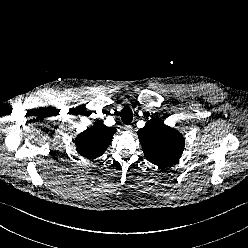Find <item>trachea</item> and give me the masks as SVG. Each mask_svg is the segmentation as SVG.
<instances>
[{
	"mask_svg": "<svg viewBox=\"0 0 248 248\" xmlns=\"http://www.w3.org/2000/svg\"><path fill=\"white\" fill-rule=\"evenodd\" d=\"M121 120L124 124H130L133 120L132 110L126 106L121 111Z\"/></svg>",
	"mask_w": 248,
	"mask_h": 248,
	"instance_id": "trachea-1",
	"label": "trachea"
}]
</instances>
